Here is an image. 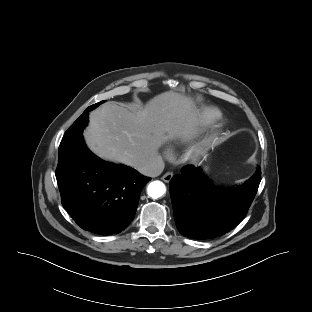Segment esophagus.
<instances>
[{"instance_id":"34e87169","label":"esophagus","mask_w":312,"mask_h":312,"mask_svg":"<svg viewBox=\"0 0 312 312\" xmlns=\"http://www.w3.org/2000/svg\"><path fill=\"white\" fill-rule=\"evenodd\" d=\"M173 177V173L172 172H166L163 176H162V180L164 182H169Z\"/></svg>"}]
</instances>
